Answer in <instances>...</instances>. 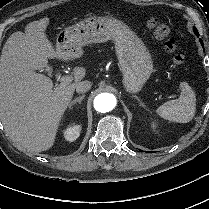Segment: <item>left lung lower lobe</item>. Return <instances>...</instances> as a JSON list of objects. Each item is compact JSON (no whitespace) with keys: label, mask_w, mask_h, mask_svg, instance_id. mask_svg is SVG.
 <instances>
[{"label":"left lung lower lobe","mask_w":209,"mask_h":209,"mask_svg":"<svg viewBox=\"0 0 209 209\" xmlns=\"http://www.w3.org/2000/svg\"><path fill=\"white\" fill-rule=\"evenodd\" d=\"M193 30H194V33L196 34V36H199V33L195 27L193 28ZM200 43L202 44V46L204 48L203 41L201 39H200Z\"/></svg>","instance_id":"0a47b994"}]
</instances>
